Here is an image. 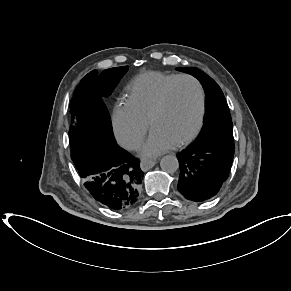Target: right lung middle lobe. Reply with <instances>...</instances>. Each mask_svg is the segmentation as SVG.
Here are the masks:
<instances>
[{
	"instance_id": "obj_1",
	"label": "right lung middle lobe",
	"mask_w": 291,
	"mask_h": 291,
	"mask_svg": "<svg viewBox=\"0 0 291 291\" xmlns=\"http://www.w3.org/2000/svg\"><path fill=\"white\" fill-rule=\"evenodd\" d=\"M127 70V66L107 69L101 74L93 70L76 87L70 103L71 158L82 154L91 145L116 142L104 98L111 94Z\"/></svg>"
}]
</instances>
